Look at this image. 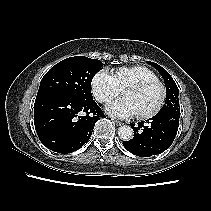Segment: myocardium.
Instances as JSON below:
<instances>
[{
  "instance_id": "myocardium-1",
  "label": "myocardium",
  "mask_w": 211,
  "mask_h": 211,
  "mask_svg": "<svg viewBox=\"0 0 211 211\" xmlns=\"http://www.w3.org/2000/svg\"><path fill=\"white\" fill-rule=\"evenodd\" d=\"M153 85H157L160 88V91H161L160 99H159L157 105L151 111H149L147 113H143V114H137L138 119H141V120L150 119V118L156 116L161 111V109L166 101V97H167L166 86L159 79H148V80H143V81H139V82L130 84L129 86H127L125 88V90L133 89V90L141 91V90L147 89L148 87L153 86Z\"/></svg>"
}]
</instances>
